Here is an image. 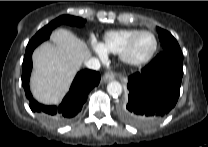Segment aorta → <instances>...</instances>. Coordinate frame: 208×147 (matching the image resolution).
<instances>
[{"mask_svg": "<svg viewBox=\"0 0 208 147\" xmlns=\"http://www.w3.org/2000/svg\"><path fill=\"white\" fill-rule=\"evenodd\" d=\"M107 92L111 96H119L122 93V85L118 81H112L107 85Z\"/></svg>", "mask_w": 208, "mask_h": 147, "instance_id": "obj_1", "label": "aorta"}]
</instances>
